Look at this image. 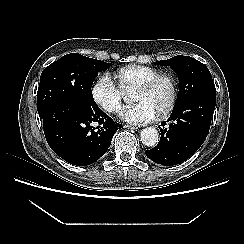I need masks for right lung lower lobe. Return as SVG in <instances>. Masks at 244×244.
<instances>
[{"instance_id":"obj_1","label":"right lung lower lobe","mask_w":244,"mask_h":244,"mask_svg":"<svg viewBox=\"0 0 244 244\" xmlns=\"http://www.w3.org/2000/svg\"><path fill=\"white\" fill-rule=\"evenodd\" d=\"M51 149L65 161L86 166L108 150L113 135L123 126L114 123L98 105L59 102L39 113Z\"/></svg>"}]
</instances>
